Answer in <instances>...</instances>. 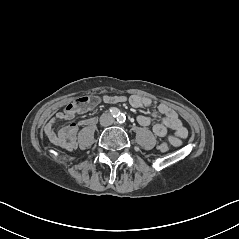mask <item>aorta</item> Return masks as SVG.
<instances>
[{
  "label": "aorta",
  "instance_id": "obj_1",
  "mask_svg": "<svg viewBox=\"0 0 239 239\" xmlns=\"http://www.w3.org/2000/svg\"><path fill=\"white\" fill-rule=\"evenodd\" d=\"M117 121H118V122H123V116H122V115H119V116L117 117Z\"/></svg>",
  "mask_w": 239,
  "mask_h": 239
}]
</instances>
